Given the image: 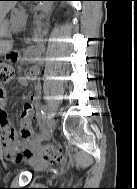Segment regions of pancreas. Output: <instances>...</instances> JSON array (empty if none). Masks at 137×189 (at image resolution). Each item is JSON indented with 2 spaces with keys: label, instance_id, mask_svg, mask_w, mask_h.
<instances>
[{
  "label": "pancreas",
  "instance_id": "1",
  "mask_svg": "<svg viewBox=\"0 0 137 189\" xmlns=\"http://www.w3.org/2000/svg\"><path fill=\"white\" fill-rule=\"evenodd\" d=\"M25 18L24 10L21 7L12 9L11 23L13 26H20Z\"/></svg>",
  "mask_w": 137,
  "mask_h": 189
}]
</instances>
